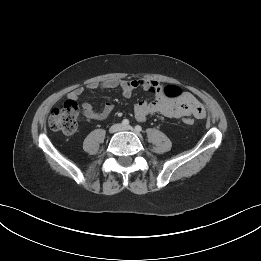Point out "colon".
<instances>
[{
    "label": "colon",
    "mask_w": 261,
    "mask_h": 261,
    "mask_svg": "<svg viewBox=\"0 0 261 261\" xmlns=\"http://www.w3.org/2000/svg\"><path fill=\"white\" fill-rule=\"evenodd\" d=\"M181 90L175 86L165 88V94L169 98H178L181 95ZM79 108L76 102L68 100L61 106L52 110L49 117V126L55 131H60L67 135H72L78 130ZM184 123L192 124L193 119L186 117Z\"/></svg>",
    "instance_id": "1"
}]
</instances>
